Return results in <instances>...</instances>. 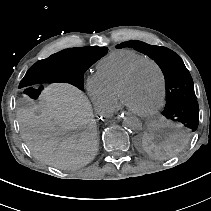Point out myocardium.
<instances>
[{"label":"myocardium","instance_id":"1","mask_svg":"<svg viewBox=\"0 0 211 211\" xmlns=\"http://www.w3.org/2000/svg\"><path fill=\"white\" fill-rule=\"evenodd\" d=\"M145 64H152L158 71L159 78H160V96L157 104L154 106L153 109H151L148 112H137L133 110H129L132 114L142 117V118H149L154 116L162 107L163 102H164V97H165V86H166V79H165V74L160 66V64L155 61L154 59L151 58H145L135 66H133L119 81L116 87V96L120 100V102L123 103V90L125 86L128 84V82L132 79V77L136 74V72Z\"/></svg>","mask_w":211,"mask_h":211}]
</instances>
